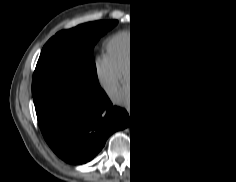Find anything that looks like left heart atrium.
<instances>
[{
  "label": "left heart atrium",
  "instance_id": "obj_1",
  "mask_svg": "<svg viewBox=\"0 0 236 182\" xmlns=\"http://www.w3.org/2000/svg\"><path fill=\"white\" fill-rule=\"evenodd\" d=\"M127 91L125 92V93H122L121 95H120V99H123V98H127Z\"/></svg>",
  "mask_w": 236,
  "mask_h": 182
}]
</instances>
